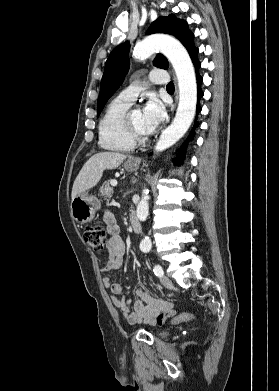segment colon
<instances>
[{
  "label": "colon",
  "instance_id": "obj_1",
  "mask_svg": "<svg viewBox=\"0 0 279 391\" xmlns=\"http://www.w3.org/2000/svg\"><path fill=\"white\" fill-rule=\"evenodd\" d=\"M86 243L96 252H102L107 241L106 230L99 225L86 227L83 232ZM194 316L189 313H182L173 318V322L192 321Z\"/></svg>",
  "mask_w": 279,
  "mask_h": 391
}]
</instances>
